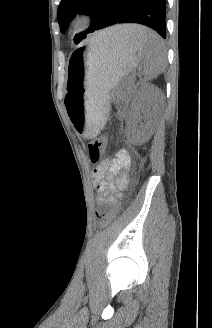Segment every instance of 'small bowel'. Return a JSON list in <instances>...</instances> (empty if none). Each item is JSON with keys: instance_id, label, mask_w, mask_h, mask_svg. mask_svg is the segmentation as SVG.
<instances>
[{"instance_id": "obj_1", "label": "small bowel", "mask_w": 212, "mask_h": 328, "mask_svg": "<svg viewBox=\"0 0 212 328\" xmlns=\"http://www.w3.org/2000/svg\"><path fill=\"white\" fill-rule=\"evenodd\" d=\"M130 156L124 149L117 151L111 158L102 160L92 171V181L98 192V202L104 205L116 203L128 185L127 170Z\"/></svg>"}]
</instances>
